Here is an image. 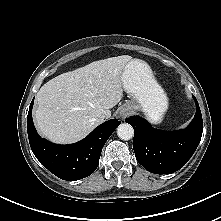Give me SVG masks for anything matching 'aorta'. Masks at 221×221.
I'll use <instances>...</instances> for the list:
<instances>
[{"instance_id": "1", "label": "aorta", "mask_w": 221, "mask_h": 221, "mask_svg": "<svg viewBox=\"0 0 221 221\" xmlns=\"http://www.w3.org/2000/svg\"><path fill=\"white\" fill-rule=\"evenodd\" d=\"M117 135L122 140H130L134 136L133 127L128 123H122L117 128Z\"/></svg>"}]
</instances>
